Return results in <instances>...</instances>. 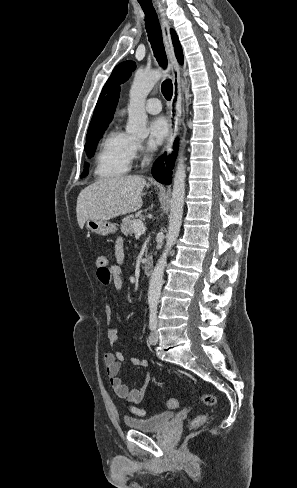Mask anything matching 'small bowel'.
<instances>
[{"instance_id":"obj_1","label":"small bowel","mask_w":297,"mask_h":488,"mask_svg":"<svg viewBox=\"0 0 297 488\" xmlns=\"http://www.w3.org/2000/svg\"><path fill=\"white\" fill-rule=\"evenodd\" d=\"M124 259V244L123 239L118 238L114 245V256L111 259L108 257V265L105 272L97 270V277L103 286H113L116 290L123 288V277L120 268V264ZM110 262H112L110 264ZM106 318L108 323L112 319V309L110 303L106 304ZM107 338L112 351L105 353L103 362L105 365L106 373L109 377V383L114 393L121 399L126 400L129 403H139L144 398V395L151 383V374L148 373L145 377L143 385L139 389L130 390L128 386L123 382L120 377L121 363L124 360V355L116 349L118 342V333L115 328L109 325L107 329ZM130 363L134 366H140L146 368L149 366L148 359L144 357H133Z\"/></svg>"}]
</instances>
